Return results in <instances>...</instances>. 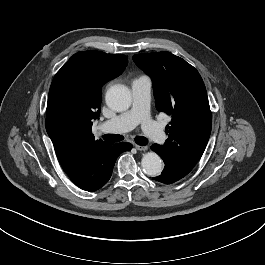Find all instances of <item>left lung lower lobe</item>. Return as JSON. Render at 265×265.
Masks as SVG:
<instances>
[{
    "label": "left lung lower lobe",
    "mask_w": 265,
    "mask_h": 265,
    "mask_svg": "<svg viewBox=\"0 0 265 265\" xmlns=\"http://www.w3.org/2000/svg\"><path fill=\"white\" fill-rule=\"evenodd\" d=\"M152 150L155 151L158 155L163 157L164 152L162 148L158 144L152 145ZM186 175L182 174L178 170H176L171 164L165 162L164 170L162 171L161 175L158 177H154L153 180L164 183V184H172L181 178L185 177Z\"/></svg>",
    "instance_id": "1"
}]
</instances>
